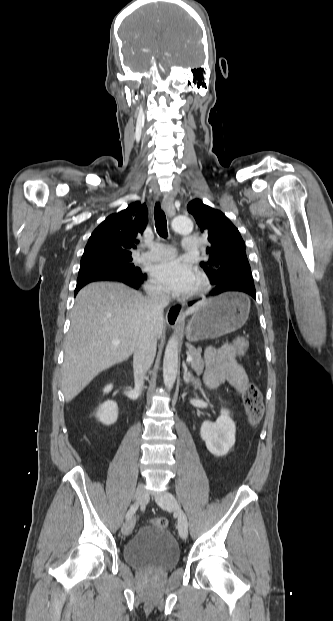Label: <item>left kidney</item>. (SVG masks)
Here are the masks:
<instances>
[{
    "mask_svg": "<svg viewBox=\"0 0 333 621\" xmlns=\"http://www.w3.org/2000/svg\"><path fill=\"white\" fill-rule=\"evenodd\" d=\"M236 426L225 408L220 411L216 422L202 423L200 435L206 447L214 456L226 455L235 444Z\"/></svg>",
    "mask_w": 333,
    "mask_h": 621,
    "instance_id": "1",
    "label": "left kidney"
}]
</instances>
